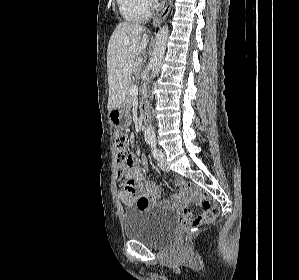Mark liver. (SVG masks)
Segmentation results:
<instances>
[{"mask_svg":"<svg viewBox=\"0 0 299 280\" xmlns=\"http://www.w3.org/2000/svg\"><path fill=\"white\" fill-rule=\"evenodd\" d=\"M148 43L149 36L144 33L143 26L136 23L121 22L112 33L107 49L109 112L124 103L134 61Z\"/></svg>","mask_w":299,"mask_h":280,"instance_id":"obj_1","label":"liver"}]
</instances>
